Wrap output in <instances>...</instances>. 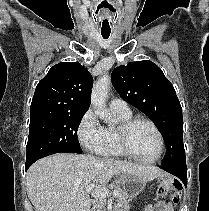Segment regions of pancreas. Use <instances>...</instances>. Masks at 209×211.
<instances>
[{
	"label": "pancreas",
	"instance_id": "cf45deb5",
	"mask_svg": "<svg viewBox=\"0 0 209 211\" xmlns=\"http://www.w3.org/2000/svg\"><path fill=\"white\" fill-rule=\"evenodd\" d=\"M114 191L119 192V196L117 197V202L120 205V208L117 211H129L130 206L128 204L127 198L122 190L115 188ZM92 211H106V199L100 198L96 200L95 207Z\"/></svg>",
	"mask_w": 209,
	"mask_h": 211
}]
</instances>
